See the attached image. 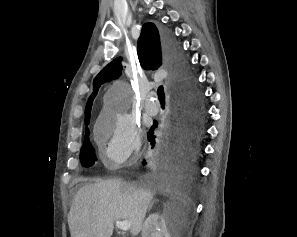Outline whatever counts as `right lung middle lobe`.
<instances>
[{
    "label": "right lung middle lobe",
    "mask_w": 297,
    "mask_h": 237,
    "mask_svg": "<svg viewBox=\"0 0 297 237\" xmlns=\"http://www.w3.org/2000/svg\"><path fill=\"white\" fill-rule=\"evenodd\" d=\"M88 132L89 130L88 128H86L85 142H84V145L82 146L81 154H80V159L84 166H91L96 160L94 149L91 146L88 138Z\"/></svg>",
    "instance_id": "1"
}]
</instances>
